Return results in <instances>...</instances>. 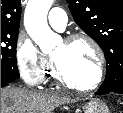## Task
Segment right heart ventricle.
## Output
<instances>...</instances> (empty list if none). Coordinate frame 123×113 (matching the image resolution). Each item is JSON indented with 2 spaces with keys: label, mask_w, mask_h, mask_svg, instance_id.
<instances>
[{
  "label": "right heart ventricle",
  "mask_w": 123,
  "mask_h": 113,
  "mask_svg": "<svg viewBox=\"0 0 123 113\" xmlns=\"http://www.w3.org/2000/svg\"><path fill=\"white\" fill-rule=\"evenodd\" d=\"M47 75L50 76L51 78L55 79L54 70H53V66H52V63L51 62H50L49 67L47 69Z\"/></svg>",
  "instance_id": "1"
}]
</instances>
